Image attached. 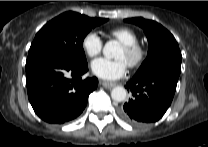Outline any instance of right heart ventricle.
I'll use <instances>...</instances> for the list:
<instances>
[{"instance_id": "right-heart-ventricle-1", "label": "right heart ventricle", "mask_w": 208, "mask_h": 147, "mask_svg": "<svg viewBox=\"0 0 208 147\" xmlns=\"http://www.w3.org/2000/svg\"><path fill=\"white\" fill-rule=\"evenodd\" d=\"M110 35L122 44H133L138 40L136 33L127 27L114 28L110 30Z\"/></svg>"}]
</instances>
